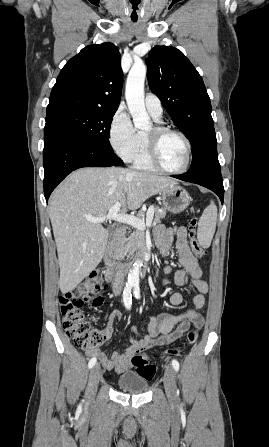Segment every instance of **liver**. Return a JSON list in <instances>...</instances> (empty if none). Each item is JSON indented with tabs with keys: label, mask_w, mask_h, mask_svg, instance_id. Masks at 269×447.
Masks as SVG:
<instances>
[{
	"label": "liver",
	"mask_w": 269,
	"mask_h": 447,
	"mask_svg": "<svg viewBox=\"0 0 269 447\" xmlns=\"http://www.w3.org/2000/svg\"><path fill=\"white\" fill-rule=\"evenodd\" d=\"M169 186H174L172 180L124 168H81L68 176L53 192L49 208L62 293L77 287L97 267L106 249L107 229L85 216H107L116 202L122 214L138 210L150 196Z\"/></svg>",
	"instance_id": "obj_1"
}]
</instances>
